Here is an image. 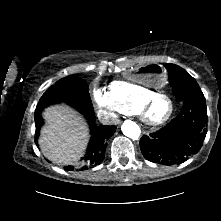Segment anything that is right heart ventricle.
I'll return each mask as SVG.
<instances>
[{
    "mask_svg": "<svg viewBox=\"0 0 221 221\" xmlns=\"http://www.w3.org/2000/svg\"><path fill=\"white\" fill-rule=\"evenodd\" d=\"M109 93L124 113H137L139 104L155 92L137 83L116 80L109 85Z\"/></svg>",
    "mask_w": 221,
    "mask_h": 221,
    "instance_id": "e07e8e85",
    "label": "right heart ventricle"
}]
</instances>
